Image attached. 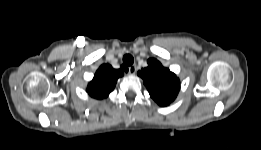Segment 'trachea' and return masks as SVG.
I'll return each instance as SVG.
<instances>
[{
	"instance_id": "obj_1",
	"label": "trachea",
	"mask_w": 261,
	"mask_h": 150,
	"mask_svg": "<svg viewBox=\"0 0 261 150\" xmlns=\"http://www.w3.org/2000/svg\"><path fill=\"white\" fill-rule=\"evenodd\" d=\"M123 62L126 66H131L134 62V58L132 55L130 54H126L124 57H123Z\"/></svg>"
}]
</instances>
